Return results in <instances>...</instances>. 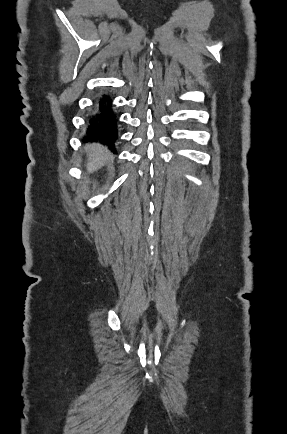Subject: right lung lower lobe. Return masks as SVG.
Masks as SVG:
<instances>
[{
    "label": "right lung lower lobe",
    "instance_id": "1",
    "mask_svg": "<svg viewBox=\"0 0 287 434\" xmlns=\"http://www.w3.org/2000/svg\"><path fill=\"white\" fill-rule=\"evenodd\" d=\"M117 117L112 110V99L103 95L96 107V112L90 117L87 128L89 139L100 141L114 150V142L118 137Z\"/></svg>",
    "mask_w": 287,
    "mask_h": 434
}]
</instances>
